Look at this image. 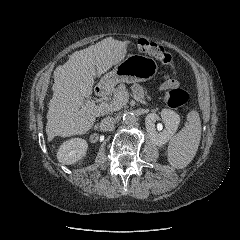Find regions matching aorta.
<instances>
[{"instance_id": "1", "label": "aorta", "mask_w": 240, "mask_h": 240, "mask_svg": "<svg viewBox=\"0 0 240 240\" xmlns=\"http://www.w3.org/2000/svg\"><path fill=\"white\" fill-rule=\"evenodd\" d=\"M122 119L126 125H134L136 123V116L132 112H124Z\"/></svg>"}]
</instances>
